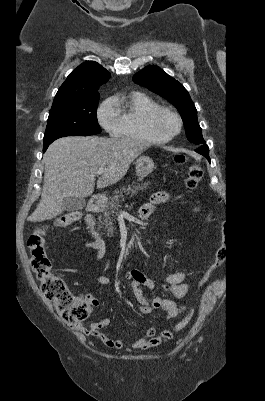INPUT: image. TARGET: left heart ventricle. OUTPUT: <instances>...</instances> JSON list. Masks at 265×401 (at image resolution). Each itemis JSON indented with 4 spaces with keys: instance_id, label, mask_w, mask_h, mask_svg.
Wrapping results in <instances>:
<instances>
[{
    "instance_id": "1",
    "label": "left heart ventricle",
    "mask_w": 265,
    "mask_h": 401,
    "mask_svg": "<svg viewBox=\"0 0 265 401\" xmlns=\"http://www.w3.org/2000/svg\"><path fill=\"white\" fill-rule=\"evenodd\" d=\"M179 125L175 118L161 114L154 123V132L158 139H166L178 131Z\"/></svg>"
}]
</instances>
